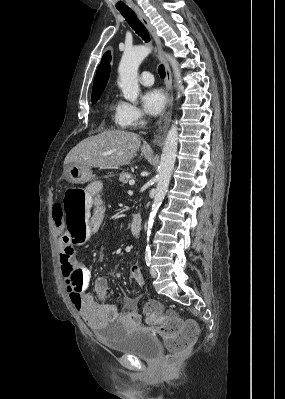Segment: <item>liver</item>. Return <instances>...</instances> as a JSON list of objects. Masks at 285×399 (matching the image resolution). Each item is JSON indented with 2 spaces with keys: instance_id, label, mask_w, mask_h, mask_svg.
Segmentation results:
<instances>
[{
  "instance_id": "1",
  "label": "liver",
  "mask_w": 285,
  "mask_h": 399,
  "mask_svg": "<svg viewBox=\"0 0 285 399\" xmlns=\"http://www.w3.org/2000/svg\"><path fill=\"white\" fill-rule=\"evenodd\" d=\"M141 147L139 136L124 130H107L78 143L67 154L64 166L109 169L127 165Z\"/></svg>"
}]
</instances>
